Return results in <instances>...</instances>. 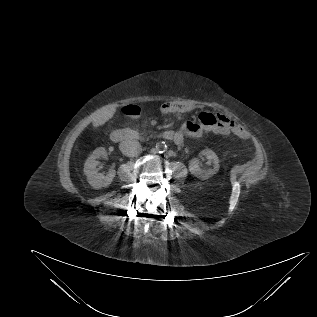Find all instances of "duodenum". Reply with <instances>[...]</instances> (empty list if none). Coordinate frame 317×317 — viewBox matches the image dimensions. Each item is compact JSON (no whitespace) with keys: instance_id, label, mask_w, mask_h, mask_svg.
I'll return each mask as SVG.
<instances>
[{"instance_id":"duodenum-1","label":"duodenum","mask_w":317,"mask_h":317,"mask_svg":"<svg viewBox=\"0 0 317 317\" xmlns=\"http://www.w3.org/2000/svg\"><path fill=\"white\" fill-rule=\"evenodd\" d=\"M161 138L166 140H172L175 137V134L171 130L164 131L160 134ZM141 137V134L134 130H123L115 129L111 133V139L116 142H124L129 140H138Z\"/></svg>"}]
</instances>
